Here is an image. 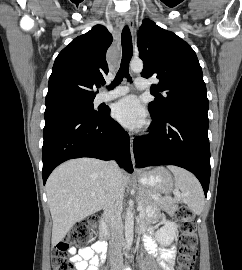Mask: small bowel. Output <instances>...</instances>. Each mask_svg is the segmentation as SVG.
I'll return each instance as SVG.
<instances>
[{"instance_id": "c3829d8e", "label": "small bowel", "mask_w": 242, "mask_h": 270, "mask_svg": "<svg viewBox=\"0 0 242 270\" xmlns=\"http://www.w3.org/2000/svg\"><path fill=\"white\" fill-rule=\"evenodd\" d=\"M149 216L153 219L157 218V214L154 211H151ZM103 245L102 242H96L89 247L80 248L77 253L75 249H71V253L74 254L73 261L76 270H99V265L102 262L101 254H103V252L101 249ZM145 245L150 252H156L157 246L151 237H145ZM160 257L163 270H175V250L162 249Z\"/></svg>"}]
</instances>
